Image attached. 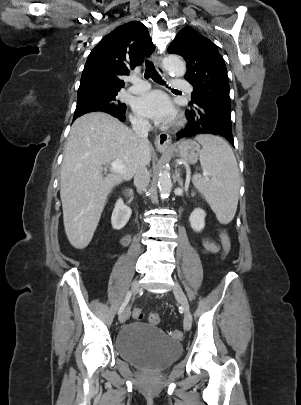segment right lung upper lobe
<instances>
[{
	"label": "right lung upper lobe",
	"mask_w": 301,
	"mask_h": 405,
	"mask_svg": "<svg viewBox=\"0 0 301 405\" xmlns=\"http://www.w3.org/2000/svg\"><path fill=\"white\" fill-rule=\"evenodd\" d=\"M155 49L144 24L131 21L106 35L91 51L80 81L79 91L89 89L120 90L121 77L128 75Z\"/></svg>",
	"instance_id": "obj_1"
}]
</instances>
